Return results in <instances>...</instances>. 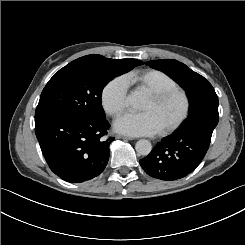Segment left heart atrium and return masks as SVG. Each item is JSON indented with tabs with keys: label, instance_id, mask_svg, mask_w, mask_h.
Instances as JSON below:
<instances>
[{
	"label": "left heart atrium",
	"instance_id": "left-heart-atrium-1",
	"mask_svg": "<svg viewBox=\"0 0 245 245\" xmlns=\"http://www.w3.org/2000/svg\"><path fill=\"white\" fill-rule=\"evenodd\" d=\"M115 129L128 135H149L158 133L161 125L149 111L140 114H129L115 122Z\"/></svg>",
	"mask_w": 245,
	"mask_h": 245
}]
</instances>
